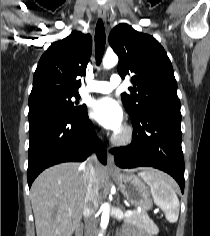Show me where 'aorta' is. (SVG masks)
Instances as JSON below:
<instances>
[{
  "instance_id": "1",
  "label": "aorta",
  "mask_w": 210,
  "mask_h": 236,
  "mask_svg": "<svg viewBox=\"0 0 210 236\" xmlns=\"http://www.w3.org/2000/svg\"><path fill=\"white\" fill-rule=\"evenodd\" d=\"M118 63V56L115 53H106L103 58V67L105 69H111ZM109 215H110V205L105 203L103 205V212L101 215V226L102 228H106L109 222Z\"/></svg>"
}]
</instances>
